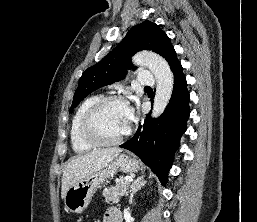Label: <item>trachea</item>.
I'll return each mask as SVG.
<instances>
[{"mask_svg":"<svg viewBox=\"0 0 257 222\" xmlns=\"http://www.w3.org/2000/svg\"><path fill=\"white\" fill-rule=\"evenodd\" d=\"M145 88H149V89H150V87H149V86H146Z\"/></svg>","mask_w":257,"mask_h":222,"instance_id":"obj_1","label":"trachea"}]
</instances>
